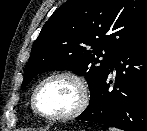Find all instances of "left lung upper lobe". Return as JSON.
Instances as JSON below:
<instances>
[{
	"label": "left lung upper lobe",
	"instance_id": "left-lung-upper-lobe-1",
	"mask_svg": "<svg viewBox=\"0 0 147 131\" xmlns=\"http://www.w3.org/2000/svg\"><path fill=\"white\" fill-rule=\"evenodd\" d=\"M146 33L147 0H68L35 40L22 88L39 73L70 70L85 76L91 101L119 52Z\"/></svg>",
	"mask_w": 147,
	"mask_h": 131
}]
</instances>
